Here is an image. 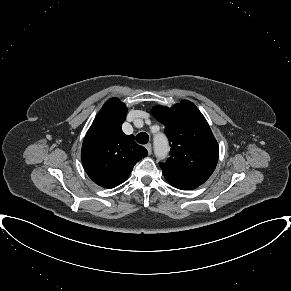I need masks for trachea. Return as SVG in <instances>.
I'll return each mask as SVG.
<instances>
[{
	"instance_id": "3493384b",
	"label": "trachea",
	"mask_w": 291,
	"mask_h": 291,
	"mask_svg": "<svg viewBox=\"0 0 291 291\" xmlns=\"http://www.w3.org/2000/svg\"><path fill=\"white\" fill-rule=\"evenodd\" d=\"M136 141L139 144H146L149 141V135L145 132H141L136 136Z\"/></svg>"
}]
</instances>
